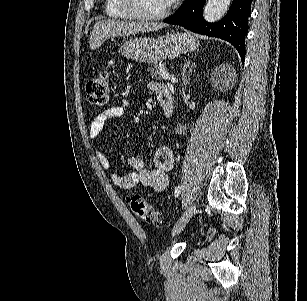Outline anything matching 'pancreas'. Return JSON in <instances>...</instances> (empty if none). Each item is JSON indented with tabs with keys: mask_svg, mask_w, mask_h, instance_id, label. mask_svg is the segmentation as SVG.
Listing matches in <instances>:
<instances>
[{
	"mask_svg": "<svg viewBox=\"0 0 307 301\" xmlns=\"http://www.w3.org/2000/svg\"><path fill=\"white\" fill-rule=\"evenodd\" d=\"M163 70L169 74L165 62H160V64H154L153 68H149V74H151L152 78H157V80H160V78H164L162 74Z\"/></svg>",
	"mask_w": 307,
	"mask_h": 301,
	"instance_id": "obj_1",
	"label": "pancreas"
}]
</instances>
